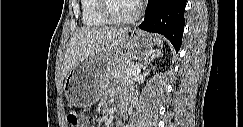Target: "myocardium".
Here are the masks:
<instances>
[{"mask_svg":"<svg viewBox=\"0 0 243 127\" xmlns=\"http://www.w3.org/2000/svg\"><path fill=\"white\" fill-rule=\"evenodd\" d=\"M109 0H98L99 2V10L101 15L110 23L113 24H127L136 21L142 12V4L138 1H135V9L134 12L128 17H117L113 15L108 7Z\"/></svg>","mask_w":243,"mask_h":127,"instance_id":"myocardium-1","label":"myocardium"}]
</instances>
